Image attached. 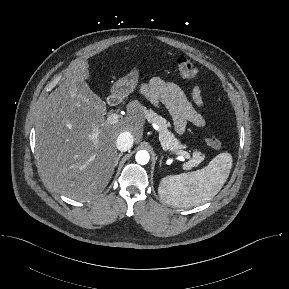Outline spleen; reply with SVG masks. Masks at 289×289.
<instances>
[{
    "label": "spleen",
    "mask_w": 289,
    "mask_h": 289,
    "mask_svg": "<svg viewBox=\"0 0 289 289\" xmlns=\"http://www.w3.org/2000/svg\"><path fill=\"white\" fill-rule=\"evenodd\" d=\"M232 156L223 152L199 170L164 177L158 187L167 204L190 208L211 200L225 184L232 168Z\"/></svg>",
    "instance_id": "spleen-1"
}]
</instances>
